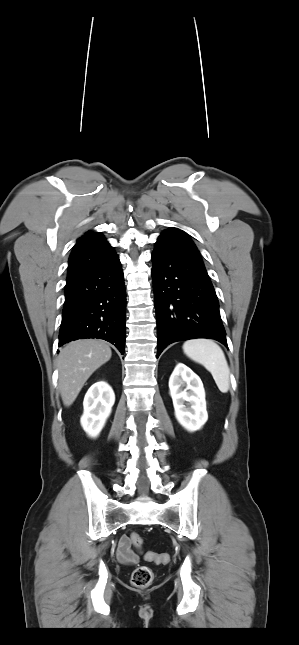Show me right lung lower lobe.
<instances>
[{
    "mask_svg": "<svg viewBox=\"0 0 299 645\" xmlns=\"http://www.w3.org/2000/svg\"><path fill=\"white\" fill-rule=\"evenodd\" d=\"M126 292L119 257L88 266L67 278L59 346L97 338L125 346Z\"/></svg>",
    "mask_w": 299,
    "mask_h": 645,
    "instance_id": "right-lung-lower-lobe-1",
    "label": "right lung lower lobe"
}]
</instances>
